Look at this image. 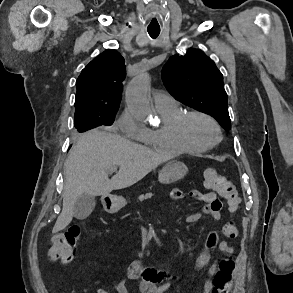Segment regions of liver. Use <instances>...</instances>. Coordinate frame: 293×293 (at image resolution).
Listing matches in <instances>:
<instances>
[{"mask_svg": "<svg viewBox=\"0 0 293 293\" xmlns=\"http://www.w3.org/2000/svg\"><path fill=\"white\" fill-rule=\"evenodd\" d=\"M172 157L98 129L83 133L65 161L63 208L53 231L71 223L74 204L83 194L107 196L130 187ZM113 167L119 171L109 179Z\"/></svg>", "mask_w": 293, "mask_h": 293, "instance_id": "1", "label": "liver"}]
</instances>
